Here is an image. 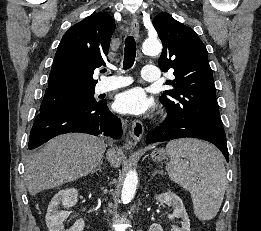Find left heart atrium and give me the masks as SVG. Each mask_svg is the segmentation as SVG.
<instances>
[{
  "label": "left heart atrium",
  "instance_id": "left-heart-atrium-1",
  "mask_svg": "<svg viewBox=\"0 0 261 231\" xmlns=\"http://www.w3.org/2000/svg\"><path fill=\"white\" fill-rule=\"evenodd\" d=\"M114 105L120 113L142 115L152 109L154 102L144 89L135 87L119 94Z\"/></svg>",
  "mask_w": 261,
  "mask_h": 231
}]
</instances>
